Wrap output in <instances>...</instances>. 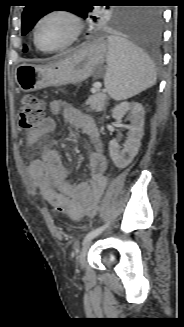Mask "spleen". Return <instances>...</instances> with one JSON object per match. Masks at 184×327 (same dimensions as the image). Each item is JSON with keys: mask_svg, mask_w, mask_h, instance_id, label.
<instances>
[{"mask_svg": "<svg viewBox=\"0 0 184 327\" xmlns=\"http://www.w3.org/2000/svg\"><path fill=\"white\" fill-rule=\"evenodd\" d=\"M107 65L104 84L114 100L128 99L156 83L157 74L150 58L120 36L108 37Z\"/></svg>", "mask_w": 184, "mask_h": 327, "instance_id": "3e777b00", "label": "spleen"}]
</instances>
